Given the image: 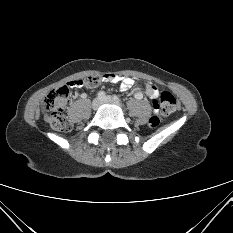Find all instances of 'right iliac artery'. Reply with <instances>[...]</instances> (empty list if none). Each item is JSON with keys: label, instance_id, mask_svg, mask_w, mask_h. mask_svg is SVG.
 Returning a JSON list of instances; mask_svg holds the SVG:
<instances>
[{"label": "right iliac artery", "instance_id": "obj_1", "mask_svg": "<svg viewBox=\"0 0 233 233\" xmlns=\"http://www.w3.org/2000/svg\"><path fill=\"white\" fill-rule=\"evenodd\" d=\"M98 98H104L106 96V93L104 91H99L97 94Z\"/></svg>", "mask_w": 233, "mask_h": 233}]
</instances>
